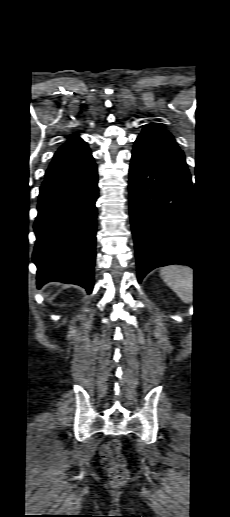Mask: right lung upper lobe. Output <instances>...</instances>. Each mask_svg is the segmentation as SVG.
Returning <instances> with one entry per match:
<instances>
[{"label": "right lung upper lobe", "instance_id": "1", "mask_svg": "<svg viewBox=\"0 0 230 517\" xmlns=\"http://www.w3.org/2000/svg\"><path fill=\"white\" fill-rule=\"evenodd\" d=\"M93 161L90 150L78 135L73 134L55 153L46 172L45 181L50 182L74 174Z\"/></svg>", "mask_w": 230, "mask_h": 517}]
</instances>
